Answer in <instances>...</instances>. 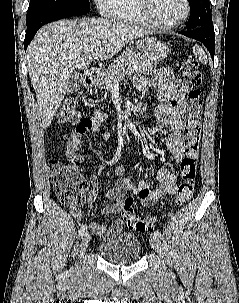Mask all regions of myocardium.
<instances>
[{
  "mask_svg": "<svg viewBox=\"0 0 239 303\" xmlns=\"http://www.w3.org/2000/svg\"><path fill=\"white\" fill-rule=\"evenodd\" d=\"M135 2V7L138 15L141 17L143 22L154 29H159V30H170V29H175L182 24H184L187 19L190 16L191 12V5L189 0H183L184 5H185V12L184 15L181 17L176 22L169 23V24H161L156 21H154L150 15V10H151V3L152 0H134Z\"/></svg>",
  "mask_w": 239,
  "mask_h": 303,
  "instance_id": "f54148a6",
  "label": "myocardium"
}]
</instances>
